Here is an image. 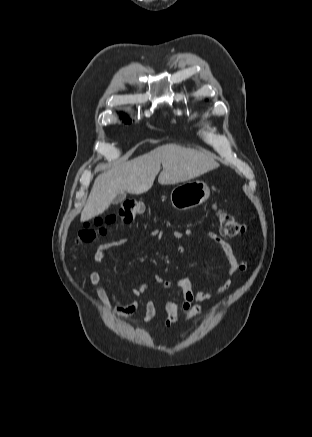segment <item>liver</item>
<instances>
[{"label": "liver", "mask_w": 312, "mask_h": 437, "mask_svg": "<svg viewBox=\"0 0 312 437\" xmlns=\"http://www.w3.org/2000/svg\"><path fill=\"white\" fill-rule=\"evenodd\" d=\"M161 164L163 170L158 182L162 185L185 182L219 167L205 152L176 144L162 145L99 174L81 213V221L102 214L120 193L147 192L153 186Z\"/></svg>", "instance_id": "liver-1"}]
</instances>
